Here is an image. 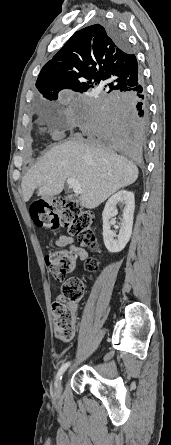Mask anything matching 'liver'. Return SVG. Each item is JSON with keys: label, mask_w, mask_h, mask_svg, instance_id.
<instances>
[{"label": "liver", "mask_w": 171, "mask_h": 445, "mask_svg": "<svg viewBox=\"0 0 171 445\" xmlns=\"http://www.w3.org/2000/svg\"><path fill=\"white\" fill-rule=\"evenodd\" d=\"M138 168L125 157H114L106 148L82 139L56 145L34 165L21 182L23 200L34 191L43 197L58 195L65 181L74 178L81 186L80 203L94 209L121 188L133 184Z\"/></svg>", "instance_id": "obj_1"}]
</instances>
